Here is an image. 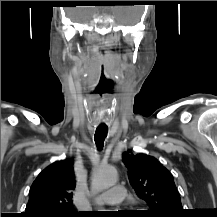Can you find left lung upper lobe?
I'll return each instance as SVG.
<instances>
[{"instance_id": "1", "label": "left lung upper lobe", "mask_w": 217, "mask_h": 217, "mask_svg": "<svg viewBox=\"0 0 217 217\" xmlns=\"http://www.w3.org/2000/svg\"><path fill=\"white\" fill-rule=\"evenodd\" d=\"M130 184L150 206V217H182L183 208L172 174L154 157L131 151L123 153Z\"/></svg>"}]
</instances>
